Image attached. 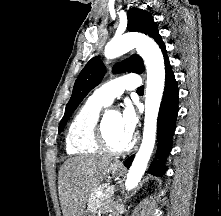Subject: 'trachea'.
Masks as SVG:
<instances>
[{
  "mask_svg": "<svg viewBox=\"0 0 221 216\" xmlns=\"http://www.w3.org/2000/svg\"><path fill=\"white\" fill-rule=\"evenodd\" d=\"M137 92H144V86H141L137 89Z\"/></svg>",
  "mask_w": 221,
  "mask_h": 216,
  "instance_id": "trachea-1",
  "label": "trachea"
}]
</instances>
